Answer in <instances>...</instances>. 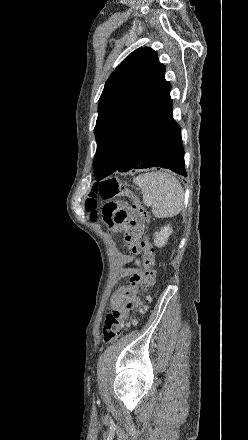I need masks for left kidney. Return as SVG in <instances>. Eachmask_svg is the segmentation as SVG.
Here are the masks:
<instances>
[{"label": "left kidney", "instance_id": "1", "mask_svg": "<svg viewBox=\"0 0 248 440\" xmlns=\"http://www.w3.org/2000/svg\"><path fill=\"white\" fill-rule=\"evenodd\" d=\"M171 233H172V228L170 227V225L163 227L160 232H156L154 234L155 246L163 247L167 243L168 238L171 235Z\"/></svg>", "mask_w": 248, "mask_h": 440}]
</instances>
